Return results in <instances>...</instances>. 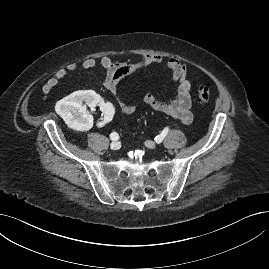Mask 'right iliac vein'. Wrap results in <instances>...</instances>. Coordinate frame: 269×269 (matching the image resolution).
I'll return each mask as SVG.
<instances>
[{
  "label": "right iliac vein",
  "mask_w": 269,
  "mask_h": 269,
  "mask_svg": "<svg viewBox=\"0 0 269 269\" xmlns=\"http://www.w3.org/2000/svg\"><path fill=\"white\" fill-rule=\"evenodd\" d=\"M110 147H111L112 150H118V149H120L121 144H120V142H118V141H113V142L110 144Z\"/></svg>",
  "instance_id": "obj_1"
}]
</instances>
